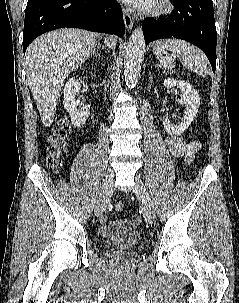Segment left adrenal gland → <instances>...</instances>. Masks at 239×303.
Segmentation results:
<instances>
[{"label":"left adrenal gland","mask_w":239,"mask_h":303,"mask_svg":"<svg viewBox=\"0 0 239 303\" xmlns=\"http://www.w3.org/2000/svg\"><path fill=\"white\" fill-rule=\"evenodd\" d=\"M156 67H161V66L159 64H157Z\"/></svg>","instance_id":"1"}]
</instances>
